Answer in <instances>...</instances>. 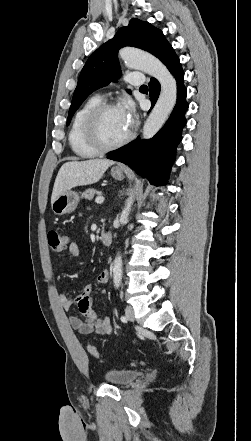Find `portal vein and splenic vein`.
<instances>
[{
  "label": "portal vein and splenic vein",
  "instance_id": "obj_1",
  "mask_svg": "<svg viewBox=\"0 0 251 441\" xmlns=\"http://www.w3.org/2000/svg\"><path fill=\"white\" fill-rule=\"evenodd\" d=\"M103 201H104V197H102V196H98V197L95 199V202H96L97 204H101V203H103Z\"/></svg>",
  "mask_w": 251,
  "mask_h": 441
}]
</instances>
